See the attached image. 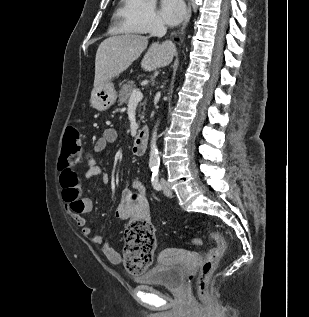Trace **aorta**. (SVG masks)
Returning a JSON list of instances; mask_svg holds the SVG:
<instances>
[{"instance_id":"aorta-1","label":"aorta","mask_w":309,"mask_h":317,"mask_svg":"<svg viewBox=\"0 0 309 317\" xmlns=\"http://www.w3.org/2000/svg\"><path fill=\"white\" fill-rule=\"evenodd\" d=\"M157 125L153 130L150 142L149 165L153 167H158L160 164L159 152L157 148Z\"/></svg>"}]
</instances>
